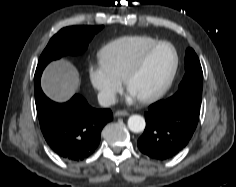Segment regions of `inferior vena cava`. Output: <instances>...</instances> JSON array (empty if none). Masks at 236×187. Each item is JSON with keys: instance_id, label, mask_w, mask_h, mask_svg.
<instances>
[{"instance_id": "602c4592", "label": "inferior vena cava", "mask_w": 236, "mask_h": 187, "mask_svg": "<svg viewBox=\"0 0 236 187\" xmlns=\"http://www.w3.org/2000/svg\"><path fill=\"white\" fill-rule=\"evenodd\" d=\"M98 102L102 107H109L116 103V95L111 92H99Z\"/></svg>"}]
</instances>
